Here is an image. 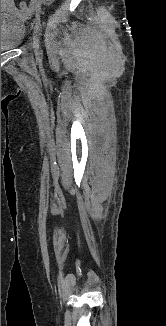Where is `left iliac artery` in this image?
<instances>
[{
	"mask_svg": "<svg viewBox=\"0 0 166 326\" xmlns=\"http://www.w3.org/2000/svg\"><path fill=\"white\" fill-rule=\"evenodd\" d=\"M35 26L38 31V34L41 35L42 34V26L40 23V16L38 14L36 15V18H35Z\"/></svg>",
	"mask_w": 166,
	"mask_h": 326,
	"instance_id": "obj_1",
	"label": "left iliac artery"
}]
</instances>
